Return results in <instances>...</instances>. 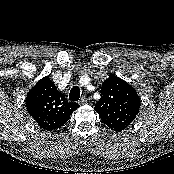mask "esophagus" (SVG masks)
<instances>
[{
    "instance_id": "obj_1",
    "label": "esophagus",
    "mask_w": 174,
    "mask_h": 174,
    "mask_svg": "<svg viewBox=\"0 0 174 174\" xmlns=\"http://www.w3.org/2000/svg\"><path fill=\"white\" fill-rule=\"evenodd\" d=\"M87 102V98L84 96L79 100V104H85Z\"/></svg>"
}]
</instances>
